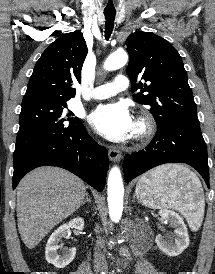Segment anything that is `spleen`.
Returning a JSON list of instances; mask_svg holds the SVG:
<instances>
[{
	"mask_svg": "<svg viewBox=\"0 0 215 274\" xmlns=\"http://www.w3.org/2000/svg\"><path fill=\"white\" fill-rule=\"evenodd\" d=\"M135 193L145 206L175 209L190 222L200 219L204 213L201 182L182 165H164L143 174Z\"/></svg>",
	"mask_w": 215,
	"mask_h": 274,
	"instance_id": "spleen-1",
	"label": "spleen"
}]
</instances>
